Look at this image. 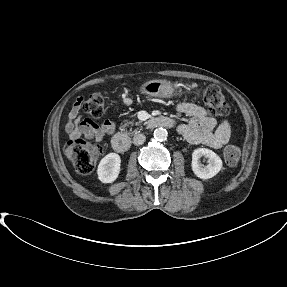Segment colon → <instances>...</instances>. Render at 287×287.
<instances>
[{
	"mask_svg": "<svg viewBox=\"0 0 287 287\" xmlns=\"http://www.w3.org/2000/svg\"><path fill=\"white\" fill-rule=\"evenodd\" d=\"M203 100L211 115L225 116L230 111L225 96L215 85H209L205 88ZM78 104L93 118H100L107 112V97L104 93H93L85 99H80ZM68 146L71 150L75 168L80 174L90 173L103 152L101 146L80 137L72 136ZM223 155L227 164L235 165L240 159L241 150L236 145H227L224 148Z\"/></svg>",
	"mask_w": 287,
	"mask_h": 287,
	"instance_id": "5ec220e1",
	"label": "colon"
}]
</instances>
